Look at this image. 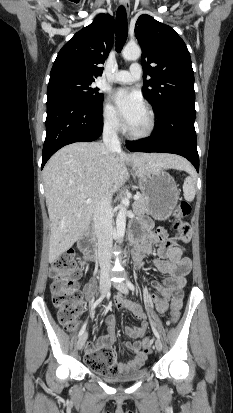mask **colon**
<instances>
[{"label":"colon","mask_w":233,"mask_h":413,"mask_svg":"<svg viewBox=\"0 0 233 413\" xmlns=\"http://www.w3.org/2000/svg\"><path fill=\"white\" fill-rule=\"evenodd\" d=\"M191 212L188 201L182 200L174 211V230L186 232L187 227L183 219ZM50 275L53 279L51 292L54 306L57 308V316L61 325L66 330H73L76 320L82 311V293L80 291L81 271L77 267L73 251H65L51 265ZM180 318V307L174 305L170 311V323L176 324ZM151 339L143 340V349L150 351ZM87 365L101 374L113 375L119 372L117 357L114 350L104 348L99 351L98 357H86Z\"/></svg>","instance_id":"obj_1"}]
</instances>
